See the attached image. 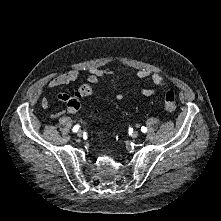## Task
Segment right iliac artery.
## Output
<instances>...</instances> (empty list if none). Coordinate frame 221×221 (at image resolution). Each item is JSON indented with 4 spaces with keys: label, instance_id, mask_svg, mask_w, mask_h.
<instances>
[{
    "label": "right iliac artery",
    "instance_id": "82829eb1",
    "mask_svg": "<svg viewBox=\"0 0 221 221\" xmlns=\"http://www.w3.org/2000/svg\"><path fill=\"white\" fill-rule=\"evenodd\" d=\"M78 129H79V125L74 126V127H73V132H77Z\"/></svg>",
    "mask_w": 221,
    "mask_h": 221
}]
</instances>
